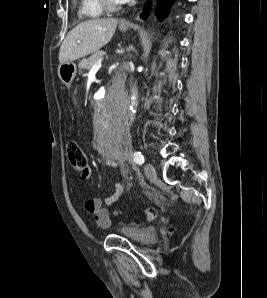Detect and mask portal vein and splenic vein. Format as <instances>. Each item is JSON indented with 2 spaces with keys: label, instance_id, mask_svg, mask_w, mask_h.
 Listing matches in <instances>:
<instances>
[{
  "label": "portal vein and splenic vein",
  "instance_id": "obj_1",
  "mask_svg": "<svg viewBox=\"0 0 267 298\" xmlns=\"http://www.w3.org/2000/svg\"><path fill=\"white\" fill-rule=\"evenodd\" d=\"M101 66H102V62H101V59H100V60L96 61V62L93 64L92 68L98 70V69L101 68Z\"/></svg>",
  "mask_w": 267,
  "mask_h": 298
}]
</instances>
